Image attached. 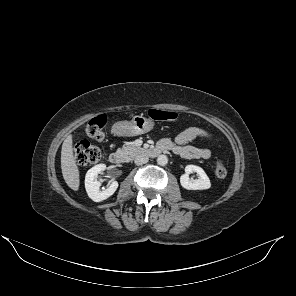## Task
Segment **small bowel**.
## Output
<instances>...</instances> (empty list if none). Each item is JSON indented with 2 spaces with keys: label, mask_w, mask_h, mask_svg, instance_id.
<instances>
[{
  "label": "small bowel",
  "mask_w": 296,
  "mask_h": 296,
  "mask_svg": "<svg viewBox=\"0 0 296 296\" xmlns=\"http://www.w3.org/2000/svg\"><path fill=\"white\" fill-rule=\"evenodd\" d=\"M211 134L200 127H188L181 131L174 140L164 138L160 140L159 145H163L167 151L179 155L186 159H205L212 157L211 150L207 148H198L188 145L189 142L197 138H210Z\"/></svg>",
  "instance_id": "1"
}]
</instances>
